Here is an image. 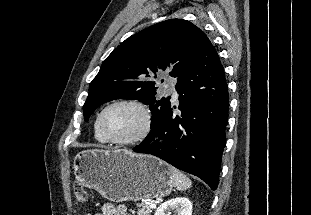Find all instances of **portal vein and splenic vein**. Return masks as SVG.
Here are the masks:
<instances>
[{
  "label": "portal vein and splenic vein",
  "mask_w": 311,
  "mask_h": 215,
  "mask_svg": "<svg viewBox=\"0 0 311 215\" xmlns=\"http://www.w3.org/2000/svg\"><path fill=\"white\" fill-rule=\"evenodd\" d=\"M149 205H150V208H156V204H154V203H148Z\"/></svg>",
  "instance_id": "18ae733b"
}]
</instances>
